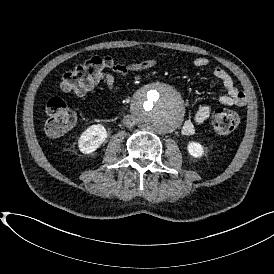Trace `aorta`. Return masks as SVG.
Returning <instances> with one entry per match:
<instances>
[{"mask_svg":"<svg viewBox=\"0 0 274 274\" xmlns=\"http://www.w3.org/2000/svg\"><path fill=\"white\" fill-rule=\"evenodd\" d=\"M131 109L136 124L159 133L174 131L184 117L181 96L162 83L142 89L134 98Z\"/></svg>","mask_w":274,"mask_h":274,"instance_id":"762f6f07","label":"aorta"}]
</instances>
